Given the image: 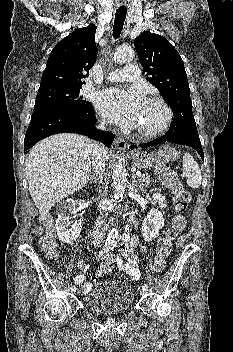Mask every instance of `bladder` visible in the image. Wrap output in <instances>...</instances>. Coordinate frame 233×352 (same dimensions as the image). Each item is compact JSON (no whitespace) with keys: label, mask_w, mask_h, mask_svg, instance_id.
<instances>
[{"label":"bladder","mask_w":233,"mask_h":352,"mask_svg":"<svg viewBox=\"0 0 233 352\" xmlns=\"http://www.w3.org/2000/svg\"><path fill=\"white\" fill-rule=\"evenodd\" d=\"M86 308L100 314H121L134 305V293L126 284L116 281L96 283L86 292Z\"/></svg>","instance_id":"1"}]
</instances>
